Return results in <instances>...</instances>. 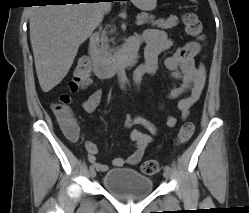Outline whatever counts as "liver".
I'll return each instance as SVG.
<instances>
[{
  "mask_svg": "<svg viewBox=\"0 0 249 213\" xmlns=\"http://www.w3.org/2000/svg\"><path fill=\"white\" fill-rule=\"evenodd\" d=\"M111 10V2L33 6L30 41L43 92L57 86L69 72L80 45Z\"/></svg>",
  "mask_w": 249,
  "mask_h": 213,
  "instance_id": "6515ba94",
  "label": "liver"
}]
</instances>
